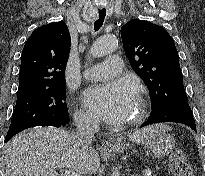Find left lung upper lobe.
<instances>
[{
  "label": "left lung upper lobe",
  "instance_id": "obj_1",
  "mask_svg": "<svg viewBox=\"0 0 205 176\" xmlns=\"http://www.w3.org/2000/svg\"><path fill=\"white\" fill-rule=\"evenodd\" d=\"M121 37L132 69L148 87L152 110L186 95L178 52L163 27L133 19L121 28Z\"/></svg>",
  "mask_w": 205,
  "mask_h": 176
}]
</instances>
